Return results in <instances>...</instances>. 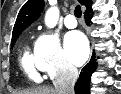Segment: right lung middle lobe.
I'll return each mask as SVG.
<instances>
[{
	"label": "right lung middle lobe",
	"mask_w": 121,
	"mask_h": 94,
	"mask_svg": "<svg viewBox=\"0 0 121 94\" xmlns=\"http://www.w3.org/2000/svg\"><path fill=\"white\" fill-rule=\"evenodd\" d=\"M20 34H21V32H19V33H17V34H15V35L12 36V46L15 44V42H16V40H17V38H18V36Z\"/></svg>",
	"instance_id": "dd1d6c3e"
}]
</instances>
